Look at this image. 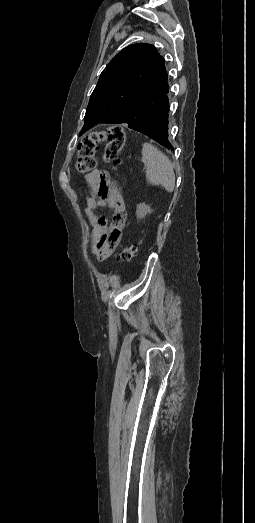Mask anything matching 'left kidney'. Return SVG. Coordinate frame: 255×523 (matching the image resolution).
<instances>
[{
    "instance_id": "5707ae66",
    "label": "left kidney",
    "mask_w": 255,
    "mask_h": 523,
    "mask_svg": "<svg viewBox=\"0 0 255 523\" xmlns=\"http://www.w3.org/2000/svg\"><path fill=\"white\" fill-rule=\"evenodd\" d=\"M152 210L150 206H146V204H138L136 214L137 218H145L147 214H151Z\"/></svg>"
}]
</instances>
